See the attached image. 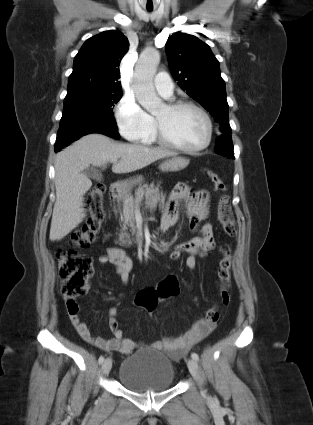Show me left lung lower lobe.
I'll return each mask as SVG.
<instances>
[{
  "mask_svg": "<svg viewBox=\"0 0 313 425\" xmlns=\"http://www.w3.org/2000/svg\"><path fill=\"white\" fill-rule=\"evenodd\" d=\"M227 140H231V136H230V134L229 133H225V134H222L218 139H217V141H216V145L217 144H221V143H223V142H226Z\"/></svg>",
  "mask_w": 313,
  "mask_h": 425,
  "instance_id": "left-lung-lower-lobe-1",
  "label": "left lung lower lobe"
}]
</instances>
